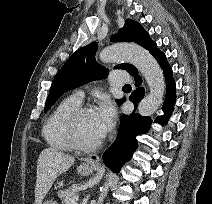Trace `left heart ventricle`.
<instances>
[{"instance_id":"left-heart-ventricle-1","label":"left heart ventricle","mask_w":212,"mask_h":204,"mask_svg":"<svg viewBox=\"0 0 212 204\" xmlns=\"http://www.w3.org/2000/svg\"><path fill=\"white\" fill-rule=\"evenodd\" d=\"M77 131L80 141L86 145L99 141L103 136L96 112L82 116L78 122Z\"/></svg>"}]
</instances>
